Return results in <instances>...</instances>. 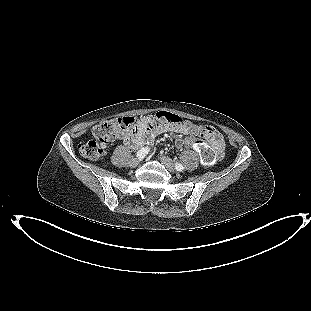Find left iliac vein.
<instances>
[{
  "label": "left iliac vein",
  "instance_id": "1",
  "mask_svg": "<svg viewBox=\"0 0 311 311\" xmlns=\"http://www.w3.org/2000/svg\"><path fill=\"white\" fill-rule=\"evenodd\" d=\"M160 161L170 172H174L175 171L174 164H173L172 160L169 157H167V156H160Z\"/></svg>",
  "mask_w": 311,
  "mask_h": 311
}]
</instances>
